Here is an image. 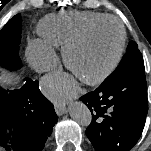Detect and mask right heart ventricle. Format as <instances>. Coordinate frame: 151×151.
<instances>
[{
    "label": "right heart ventricle",
    "mask_w": 151,
    "mask_h": 151,
    "mask_svg": "<svg viewBox=\"0 0 151 151\" xmlns=\"http://www.w3.org/2000/svg\"><path fill=\"white\" fill-rule=\"evenodd\" d=\"M108 16L91 11H66L45 16L38 24L43 41L52 47L63 48L92 22Z\"/></svg>",
    "instance_id": "right-heart-ventricle-1"
}]
</instances>
